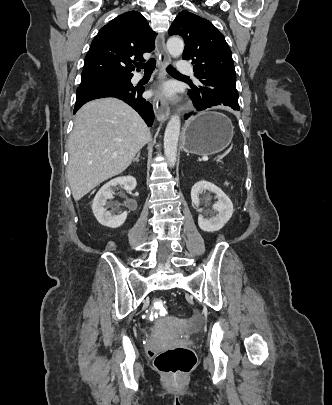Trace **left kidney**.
I'll return each instance as SVG.
<instances>
[{
    "mask_svg": "<svg viewBox=\"0 0 332 405\" xmlns=\"http://www.w3.org/2000/svg\"><path fill=\"white\" fill-rule=\"evenodd\" d=\"M208 190L216 194L218 202L213 205L217 211L216 216L205 219L201 214L198 216L199 227L206 232L218 231L230 220L233 214V204L230 198L217 186L207 181H199L191 189V200L195 207H199V196ZM201 210V209H200Z\"/></svg>",
    "mask_w": 332,
    "mask_h": 405,
    "instance_id": "1",
    "label": "left kidney"
}]
</instances>
